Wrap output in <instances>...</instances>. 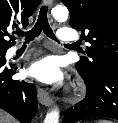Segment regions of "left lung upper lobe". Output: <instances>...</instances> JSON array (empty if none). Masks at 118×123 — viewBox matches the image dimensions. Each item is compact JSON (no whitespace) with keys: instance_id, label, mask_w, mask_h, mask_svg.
I'll return each mask as SVG.
<instances>
[{"instance_id":"5c2ea615","label":"left lung upper lobe","mask_w":118,"mask_h":123,"mask_svg":"<svg viewBox=\"0 0 118 123\" xmlns=\"http://www.w3.org/2000/svg\"><path fill=\"white\" fill-rule=\"evenodd\" d=\"M71 13L70 26L91 44L77 68L93 76L103 67L118 65V1L61 0Z\"/></svg>"}]
</instances>
